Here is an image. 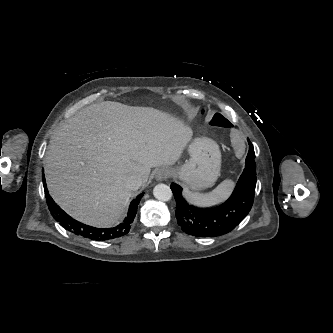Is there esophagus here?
<instances>
[{
  "mask_svg": "<svg viewBox=\"0 0 333 333\" xmlns=\"http://www.w3.org/2000/svg\"><path fill=\"white\" fill-rule=\"evenodd\" d=\"M170 175V171L166 168H162L160 170H158V172L156 173V180L158 181H164L166 180Z\"/></svg>",
  "mask_w": 333,
  "mask_h": 333,
  "instance_id": "34e87169",
  "label": "esophagus"
}]
</instances>
